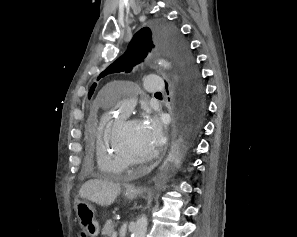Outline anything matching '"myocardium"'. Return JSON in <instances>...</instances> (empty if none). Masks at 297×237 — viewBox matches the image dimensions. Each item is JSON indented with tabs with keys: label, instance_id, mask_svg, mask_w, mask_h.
I'll return each instance as SVG.
<instances>
[{
	"label": "myocardium",
	"instance_id": "obj_1",
	"mask_svg": "<svg viewBox=\"0 0 297 237\" xmlns=\"http://www.w3.org/2000/svg\"><path fill=\"white\" fill-rule=\"evenodd\" d=\"M134 122H136L135 118L124 117L116 126L113 138L114 146L117 152L120 154V156L127 164V166L147 164L157 156L156 151H153L150 154L143 157L135 156L129 151L126 143L124 142L123 134L127 126Z\"/></svg>",
	"mask_w": 297,
	"mask_h": 237
}]
</instances>
